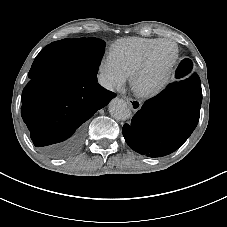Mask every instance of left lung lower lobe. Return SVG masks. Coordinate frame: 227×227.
<instances>
[{
    "mask_svg": "<svg viewBox=\"0 0 227 227\" xmlns=\"http://www.w3.org/2000/svg\"><path fill=\"white\" fill-rule=\"evenodd\" d=\"M191 68V62H182L176 77L187 75ZM201 102V82L196 73L169 84L143 104L131 124L123 126L125 141L134 151L148 157H162L174 152L197 126Z\"/></svg>",
    "mask_w": 227,
    "mask_h": 227,
    "instance_id": "obj_1",
    "label": "left lung lower lobe"
}]
</instances>
